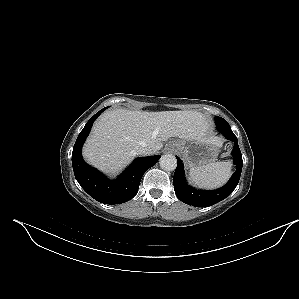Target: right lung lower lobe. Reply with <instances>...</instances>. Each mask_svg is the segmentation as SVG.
Wrapping results in <instances>:
<instances>
[{"mask_svg":"<svg viewBox=\"0 0 299 299\" xmlns=\"http://www.w3.org/2000/svg\"><path fill=\"white\" fill-rule=\"evenodd\" d=\"M105 109L97 112L78 135L72 152V165L76 180L92 198L104 204H120L135 196L143 174L159 160L160 156L135 159L116 180L107 179L98 170L87 165L82 158V146L93 122Z\"/></svg>","mask_w":299,"mask_h":299,"instance_id":"obj_1","label":"right lung lower lobe"}]
</instances>
